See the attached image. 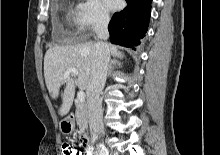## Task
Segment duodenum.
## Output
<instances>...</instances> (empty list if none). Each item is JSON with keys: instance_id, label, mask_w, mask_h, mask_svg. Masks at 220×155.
Wrapping results in <instances>:
<instances>
[{"instance_id": "410a0bca", "label": "duodenum", "mask_w": 220, "mask_h": 155, "mask_svg": "<svg viewBox=\"0 0 220 155\" xmlns=\"http://www.w3.org/2000/svg\"><path fill=\"white\" fill-rule=\"evenodd\" d=\"M86 136V141H87V145H86V147H85V151H86V155H91L92 154V149H91V147L88 145V140H89V137L87 136V135H85Z\"/></svg>"}]
</instances>
